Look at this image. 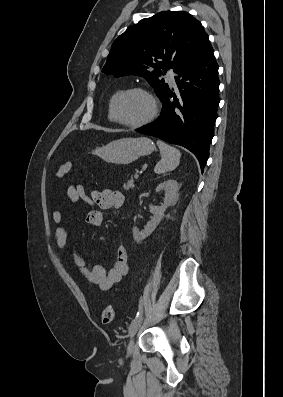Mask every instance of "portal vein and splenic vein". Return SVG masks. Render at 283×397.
Listing matches in <instances>:
<instances>
[{"mask_svg":"<svg viewBox=\"0 0 283 397\" xmlns=\"http://www.w3.org/2000/svg\"><path fill=\"white\" fill-rule=\"evenodd\" d=\"M134 177H135L136 179H138V178H139V174H138V173H135V174H134Z\"/></svg>","mask_w":283,"mask_h":397,"instance_id":"1","label":"portal vein and splenic vein"}]
</instances>
